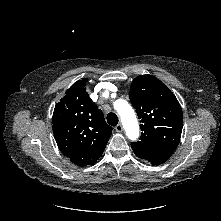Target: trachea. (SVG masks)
Segmentation results:
<instances>
[{"label": "trachea", "instance_id": "trachea-1", "mask_svg": "<svg viewBox=\"0 0 221 221\" xmlns=\"http://www.w3.org/2000/svg\"><path fill=\"white\" fill-rule=\"evenodd\" d=\"M107 122L111 126H116L118 124V117L115 113L111 112L107 115Z\"/></svg>", "mask_w": 221, "mask_h": 221}]
</instances>
